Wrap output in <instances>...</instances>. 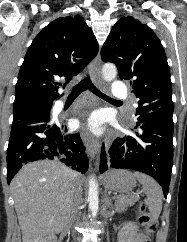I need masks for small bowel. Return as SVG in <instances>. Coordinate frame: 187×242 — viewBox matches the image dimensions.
<instances>
[{"instance_id":"1","label":"small bowel","mask_w":187,"mask_h":242,"mask_svg":"<svg viewBox=\"0 0 187 242\" xmlns=\"http://www.w3.org/2000/svg\"><path fill=\"white\" fill-rule=\"evenodd\" d=\"M140 238H141V236H138V237L135 239L134 242H139V241H140Z\"/></svg>"}]
</instances>
